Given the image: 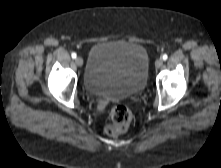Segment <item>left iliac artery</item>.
<instances>
[{
	"instance_id": "obj_1",
	"label": "left iliac artery",
	"mask_w": 221,
	"mask_h": 168,
	"mask_svg": "<svg viewBox=\"0 0 221 168\" xmlns=\"http://www.w3.org/2000/svg\"><path fill=\"white\" fill-rule=\"evenodd\" d=\"M167 58H168L167 54H164V55L162 56V59H163V60H167Z\"/></svg>"
}]
</instances>
